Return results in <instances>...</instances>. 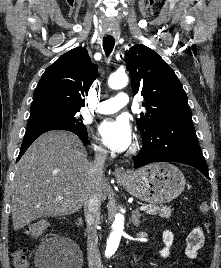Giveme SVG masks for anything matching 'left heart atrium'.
<instances>
[{
  "instance_id": "obj_1",
  "label": "left heart atrium",
  "mask_w": 221,
  "mask_h": 268,
  "mask_svg": "<svg viewBox=\"0 0 221 268\" xmlns=\"http://www.w3.org/2000/svg\"><path fill=\"white\" fill-rule=\"evenodd\" d=\"M98 131L103 143L115 152H124L132 145V128L126 118L105 120Z\"/></svg>"
}]
</instances>
